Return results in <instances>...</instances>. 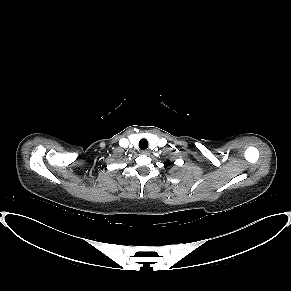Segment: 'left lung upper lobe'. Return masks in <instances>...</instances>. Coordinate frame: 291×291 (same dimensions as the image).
Wrapping results in <instances>:
<instances>
[{
	"label": "left lung upper lobe",
	"instance_id": "1",
	"mask_svg": "<svg viewBox=\"0 0 291 291\" xmlns=\"http://www.w3.org/2000/svg\"><path fill=\"white\" fill-rule=\"evenodd\" d=\"M170 164H171L170 161H167L166 163H164V166L167 167V166H169Z\"/></svg>",
	"mask_w": 291,
	"mask_h": 291
}]
</instances>
